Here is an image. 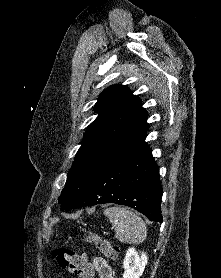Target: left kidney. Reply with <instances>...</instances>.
Listing matches in <instances>:
<instances>
[{
  "label": "left kidney",
  "mask_w": 221,
  "mask_h": 278,
  "mask_svg": "<svg viewBox=\"0 0 221 278\" xmlns=\"http://www.w3.org/2000/svg\"><path fill=\"white\" fill-rule=\"evenodd\" d=\"M147 261L148 257L145 253H142L140 256L134 247L129 248L123 261V268L125 270L123 278H140Z\"/></svg>",
  "instance_id": "5707ae66"
}]
</instances>
